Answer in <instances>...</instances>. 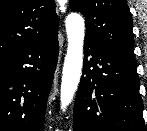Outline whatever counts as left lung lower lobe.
I'll list each match as a JSON object with an SVG mask.
<instances>
[{
  "instance_id": "1",
  "label": "left lung lower lobe",
  "mask_w": 147,
  "mask_h": 131,
  "mask_svg": "<svg viewBox=\"0 0 147 131\" xmlns=\"http://www.w3.org/2000/svg\"><path fill=\"white\" fill-rule=\"evenodd\" d=\"M74 131H147L136 62L85 40Z\"/></svg>"
}]
</instances>
